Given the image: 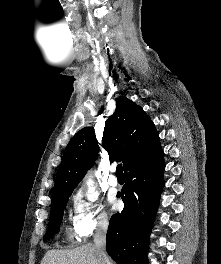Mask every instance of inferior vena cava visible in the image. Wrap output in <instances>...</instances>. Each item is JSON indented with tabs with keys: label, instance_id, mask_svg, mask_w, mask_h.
<instances>
[{
	"label": "inferior vena cava",
	"instance_id": "obj_1",
	"mask_svg": "<svg viewBox=\"0 0 221 264\" xmlns=\"http://www.w3.org/2000/svg\"><path fill=\"white\" fill-rule=\"evenodd\" d=\"M108 221L103 220L98 223V229L94 235V244L96 253L101 264H110L109 258L106 253V231Z\"/></svg>",
	"mask_w": 221,
	"mask_h": 264
}]
</instances>
